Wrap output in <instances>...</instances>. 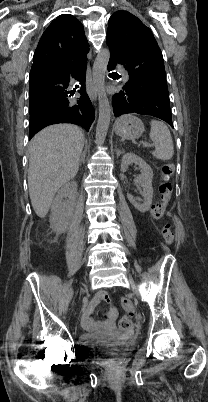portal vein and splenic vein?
Masks as SVG:
<instances>
[{"instance_id":"1","label":"portal vein and splenic vein","mask_w":208,"mask_h":402,"mask_svg":"<svg viewBox=\"0 0 208 402\" xmlns=\"http://www.w3.org/2000/svg\"><path fill=\"white\" fill-rule=\"evenodd\" d=\"M140 144H143V146H154V144H146V142H140Z\"/></svg>"}]
</instances>
